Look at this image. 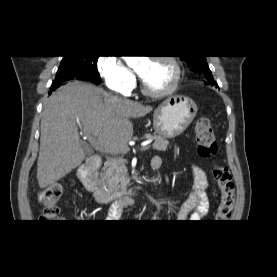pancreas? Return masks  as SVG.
Instances as JSON below:
<instances>
[{
    "label": "pancreas",
    "mask_w": 277,
    "mask_h": 277,
    "mask_svg": "<svg viewBox=\"0 0 277 277\" xmlns=\"http://www.w3.org/2000/svg\"><path fill=\"white\" fill-rule=\"evenodd\" d=\"M144 139L154 140L153 150L166 151L169 141L163 137L145 134ZM126 161L123 158H114L107 161L100 175L101 182L108 188L109 192L118 194L126 190L130 184L127 173Z\"/></svg>",
    "instance_id": "1"
}]
</instances>
